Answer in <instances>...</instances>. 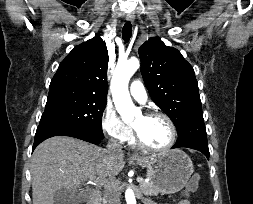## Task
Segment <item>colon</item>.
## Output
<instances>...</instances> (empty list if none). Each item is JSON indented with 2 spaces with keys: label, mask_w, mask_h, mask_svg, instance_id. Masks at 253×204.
Returning a JSON list of instances; mask_svg holds the SVG:
<instances>
[{
  "label": "colon",
  "mask_w": 253,
  "mask_h": 204,
  "mask_svg": "<svg viewBox=\"0 0 253 204\" xmlns=\"http://www.w3.org/2000/svg\"><path fill=\"white\" fill-rule=\"evenodd\" d=\"M201 180V176L198 173H195L191 176L190 181L187 185V191L192 192L195 191L198 187V184Z\"/></svg>",
  "instance_id": "obj_1"
}]
</instances>
